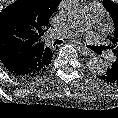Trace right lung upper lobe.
<instances>
[{
    "label": "right lung upper lobe",
    "instance_id": "1",
    "mask_svg": "<svg viewBox=\"0 0 118 118\" xmlns=\"http://www.w3.org/2000/svg\"><path fill=\"white\" fill-rule=\"evenodd\" d=\"M61 0H17L0 13V54L12 51L31 54L37 59L38 71H44L52 60L53 51L42 42L48 21ZM12 6L21 10L18 26L5 20V13Z\"/></svg>",
    "mask_w": 118,
    "mask_h": 118
}]
</instances>
